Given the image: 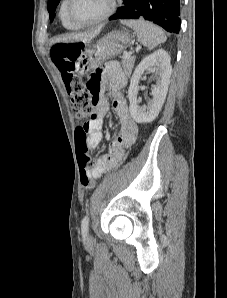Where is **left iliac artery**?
<instances>
[{
    "instance_id": "obj_1",
    "label": "left iliac artery",
    "mask_w": 227,
    "mask_h": 298,
    "mask_svg": "<svg viewBox=\"0 0 227 298\" xmlns=\"http://www.w3.org/2000/svg\"><path fill=\"white\" fill-rule=\"evenodd\" d=\"M88 229H89V216L88 214H86L81 221V231L84 236L87 235Z\"/></svg>"
}]
</instances>
